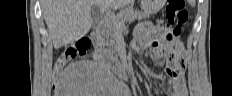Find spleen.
Listing matches in <instances>:
<instances>
[{"label": "spleen", "mask_w": 232, "mask_h": 96, "mask_svg": "<svg viewBox=\"0 0 232 96\" xmlns=\"http://www.w3.org/2000/svg\"><path fill=\"white\" fill-rule=\"evenodd\" d=\"M188 2H189V4H190L191 6H193V7H194L195 4H196V1H195V0H189Z\"/></svg>", "instance_id": "3e777b00"}]
</instances>
